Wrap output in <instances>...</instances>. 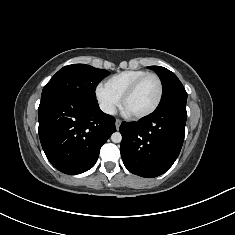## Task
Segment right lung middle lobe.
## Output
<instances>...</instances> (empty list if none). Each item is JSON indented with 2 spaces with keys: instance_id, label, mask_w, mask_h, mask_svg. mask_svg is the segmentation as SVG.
I'll list each match as a JSON object with an SVG mask.
<instances>
[{
  "instance_id": "1",
  "label": "right lung middle lobe",
  "mask_w": 235,
  "mask_h": 235,
  "mask_svg": "<svg viewBox=\"0 0 235 235\" xmlns=\"http://www.w3.org/2000/svg\"><path fill=\"white\" fill-rule=\"evenodd\" d=\"M109 74L104 69H97L85 64L65 66L45 85L41 99L66 95L96 102V86Z\"/></svg>"
}]
</instances>
